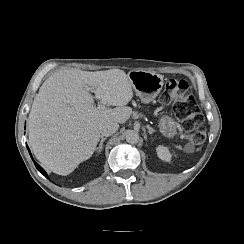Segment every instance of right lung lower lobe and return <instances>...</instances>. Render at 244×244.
<instances>
[{
  "instance_id": "98d812e1",
  "label": "right lung lower lobe",
  "mask_w": 244,
  "mask_h": 244,
  "mask_svg": "<svg viewBox=\"0 0 244 244\" xmlns=\"http://www.w3.org/2000/svg\"><path fill=\"white\" fill-rule=\"evenodd\" d=\"M28 151L30 153V156H31L32 160L34 161V159H33L32 155H31V152H30L29 148H28ZM34 164H35L36 168L39 170V172H41L45 177H47V173L45 172V170L39 164H37L36 162H34Z\"/></svg>"
}]
</instances>
